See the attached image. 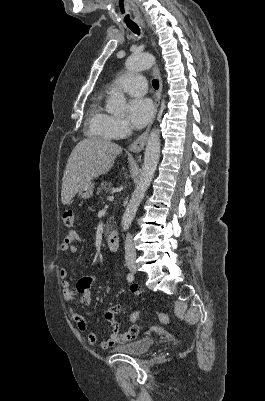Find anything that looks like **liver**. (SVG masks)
I'll list each match as a JSON object with an SVG mask.
<instances>
[{"instance_id": "6515ba94", "label": "liver", "mask_w": 265, "mask_h": 401, "mask_svg": "<svg viewBox=\"0 0 265 401\" xmlns=\"http://www.w3.org/2000/svg\"><path fill=\"white\" fill-rule=\"evenodd\" d=\"M122 146L104 138H83L73 148L63 174L61 203L69 205L82 184L106 174Z\"/></svg>"}]
</instances>
